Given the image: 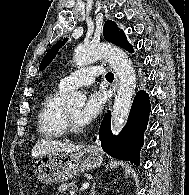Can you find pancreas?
I'll use <instances>...</instances> for the list:
<instances>
[{"mask_svg":"<svg viewBox=\"0 0 189 195\" xmlns=\"http://www.w3.org/2000/svg\"><path fill=\"white\" fill-rule=\"evenodd\" d=\"M76 182L73 181L71 183L69 182H62L59 184L58 186V191L59 193H63L65 192L66 190H70L71 192L75 191V188H76Z\"/></svg>","mask_w":189,"mask_h":195,"instance_id":"1","label":"pancreas"}]
</instances>
